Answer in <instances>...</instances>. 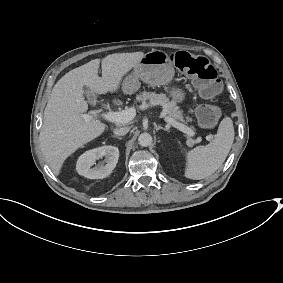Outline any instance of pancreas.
<instances>
[{
	"label": "pancreas",
	"mask_w": 283,
	"mask_h": 283,
	"mask_svg": "<svg viewBox=\"0 0 283 283\" xmlns=\"http://www.w3.org/2000/svg\"><path fill=\"white\" fill-rule=\"evenodd\" d=\"M149 100V105H161L163 107V111L166 113V117L172 118L175 121L184 122L183 111L179 110L176 102L170 101L166 94H157L155 92H142L136 95L137 102H146ZM191 120L190 118H187Z\"/></svg>",
	"instance_id": "obj_1"
}]
</instances>
